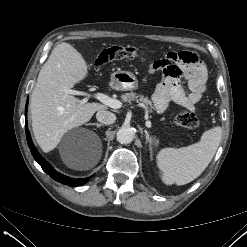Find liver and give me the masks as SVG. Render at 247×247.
<instances>
[{
	"label": "liver",
	"mask_w": 247,
	"mask_h": 247,
	"mask_svg": "<svg viewBox=\"0 0 247 247\" xmlns=\"http://www.w3.org/2000/svg\"><path fill=\"white\" fill-rule=\"evenodd\" d=\"M88 75L83 56L69 43L57 45L39 72L31 94V118L35 139L44 152L57 147L63 135L88 122L94 113L107 107L100 103H83L68 90ZM101 158V150L84 161H66L76 170H88Z\"/></svg>",
	"instance_id": "6515ba94"
}]
</instances>
